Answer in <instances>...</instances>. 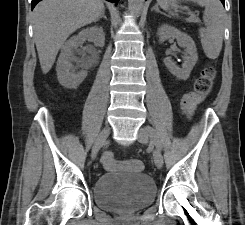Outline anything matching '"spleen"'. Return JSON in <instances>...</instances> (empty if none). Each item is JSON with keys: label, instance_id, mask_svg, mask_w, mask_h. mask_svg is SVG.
Returning a JSON list of instances; mask_svg holds the SVG:
<instances>
[{"label": "spleen", "instance_id": "spleen-1", "mask_svg": "<svg viewBox=\"0 0 245 225\" xmlns=\"http://www.w3.org/2000/svg\"><path fill=\"white\" fill-rule=\"evenodd\" d=\"M177 0H157L158 5L164 10H170ZM197 3L205 8L203 20L206 29L200 31L201 44L206 56L215 59L222 49L224 37L225 11L219 0H185ZM174 15L172 12H170Z\"/></svg>", "mask_w": 245, "mask_h": 225}]
</instances>
